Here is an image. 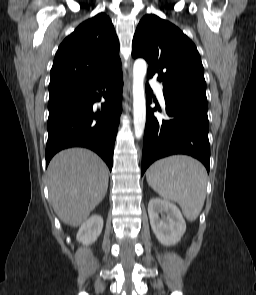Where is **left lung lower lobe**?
<instances>
[{
	"label": "left lung lower lobe",
	"instance_id": "1",
	"mask_svg": "<svg viewBox=\"0 0 256 295\" xmlns=\"http://www.w3.org/2000/svg\"><path fill=\"white\" fill-rule=\"evenodd\" d=\"M151 94L147 84V116L141 175L154 161L173 154L193 156L200 160L209 172L208 107L165 98L166 114L170 119L159 120L153 113L156 109L149 107L152 103Z\"/></svg>",
	"mask_w": 256,
	"mask_h": 295
}]
</instances>
